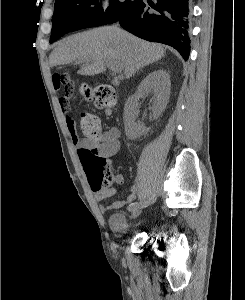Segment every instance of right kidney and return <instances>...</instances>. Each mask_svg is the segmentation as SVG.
<instances>
[{
    "mask_svg": "<svg viewBox=\"0 0 245 300\" xmlns=\"http://www.w3.org/2000/svg\"><path fill=\"white\" fill-rule=\"evenodd\" d=\"M170 76L164 70H156L150 73L138 86L134 95L128 98L124 108L125 133L131 140L146 134L148 128L136 122L135 109L138 100L148 93L153 94L152 112L153 117L158 118L165 110L170 96Z\"/></svg>",
    "mask_w": 245,
    "mask_h": 300,
    "instance_id": "ca27d5eb",
    "label": "right kidney"
}]
</instances>
